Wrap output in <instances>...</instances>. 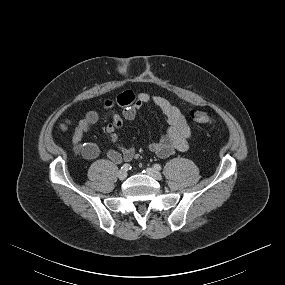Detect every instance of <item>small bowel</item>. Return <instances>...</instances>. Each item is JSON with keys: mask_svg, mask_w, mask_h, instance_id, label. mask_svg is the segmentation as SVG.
<instances>
[{"mask_svg": "<svg viewBox=\"0 0 285 285\" xmlns=\"http://www.w3.org/2000/svg\"><path fill=\"white\" fill-rule=\"evenodd\" d=\"M152 103L157 106L166 116L168 127L157 141L149 144V150L161 158L169 157L176 151L188 150L192 136L191 128L184 113L168 99L152 95L146 92L125 91L114 100H107L104 104L106 114L111 122L105 127L115 149L107 151V157L115 162L130 161L135 156V146L124 148L119 144L118 131L123 126V118L132 120L137 110L143 105ZM116 107L122 108V115L115 111ZM100 115L95 110L88 111L81 119L72 137L74 152L84 159H95L99 154V148L94 143H83V138L90 128L99 121Z\"/></svg>", "mask_w": 285, "mask_h": 285, "instance_id": "c3829d8e", "label": "small bowel"}]
</instances>
